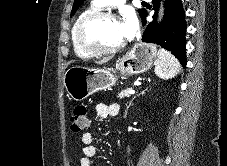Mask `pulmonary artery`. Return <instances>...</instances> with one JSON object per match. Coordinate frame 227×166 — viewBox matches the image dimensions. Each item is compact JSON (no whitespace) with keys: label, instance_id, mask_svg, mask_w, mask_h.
<instances>
[{"label":"pulmonary artery","instance_id":"e3ab8cb5","mask_svg":"<svg viewBox=\"0 0 227 166\" xmlns=\"http://www.w3.org/2000/svg\"><path fill=\"white\" fill-rule=\"evenodd\" d=\"M145 1H149V0H145ZM124 2L125 0H94V3L99 7L116 6Z\"/></svg>","mask_w":227,"mask_h":166}]
</instances>
